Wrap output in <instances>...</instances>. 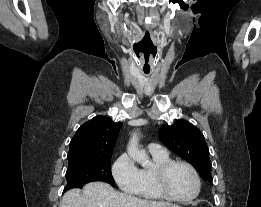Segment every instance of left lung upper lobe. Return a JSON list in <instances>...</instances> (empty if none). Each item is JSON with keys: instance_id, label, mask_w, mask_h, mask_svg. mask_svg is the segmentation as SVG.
I'll use <instances>...</instances> for the list:
<instances>
[{"instance_id": "5c2ea615", "label": "left lung upper lobe", "mask_w": 261, "mask_h": 207, "mask_svg": "<svg viewBox=\"0 0 261 207\" xmlns=\"http://www.w3.org/2000/svg\"><path fill=\"white\" fill-rule=\"evenodd\" d=\"M159 138L171 151L190 162L205 181H212L209 149L197 127L185 120H178L173 125L163 124Z\"/></svg>"}]
</instances>
